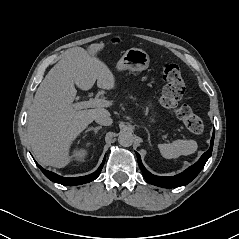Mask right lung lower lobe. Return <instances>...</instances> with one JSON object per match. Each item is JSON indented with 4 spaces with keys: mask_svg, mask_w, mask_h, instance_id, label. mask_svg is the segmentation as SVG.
Instances as JSON below:
<instances>
[{
    "mask_svg": "<svg viewBox=\"0 0 239 239\" xmlns=\"http://www.w3.org/2000/svg\"><path fill=\"white\" fill-rule=\"evenodd\" d=\"M104 162H105V158H104L103 162L101 163V165L99 166V168L94 173L87 175V176L72 177V178H66V177L59 176L51 171L45 170L38 164H37V166L41 169V171L44 173V175L47 178H49L51 181L62 184V185L72 186V185L85 184V183H88V182L96 179L102 170Z\"/></svg>",
    "mask_w": 239,
    "mask_h": 239,
    "instance_id": "obj_1",
    "label": "right lung lower lobe"
}]
</instances>
